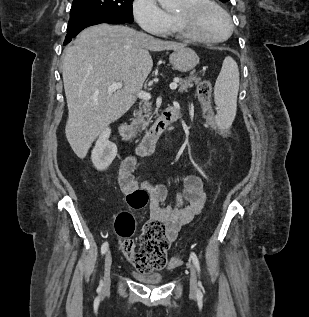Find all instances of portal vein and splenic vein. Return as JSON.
<instances>
[{"instance_id": "1", "label": "portal vein and splenic vein", "mask_w": 309, "mask_h": 317, "mask_svg": "<svg viewBox=\"0 0 309 317\" xmlns=\"http://www.w3.org/2000/svg\"><path fill=\"white\" fill-rule=\"evenodd\" d=\"M122 86H123V84H122L121 82L113 83L112 85H110V86L108 87V91H110V92L115 91V90L121 88ZM169 87H170L171 90H175V89H177L178 84H177V82L175 81V82H172V83L169 85ZM138 97H139L140 99H142V100H149V99L151 98V95H150V93H147V92H145V91H140V92L138 93Z\"/></svg>"}]
</instances>
